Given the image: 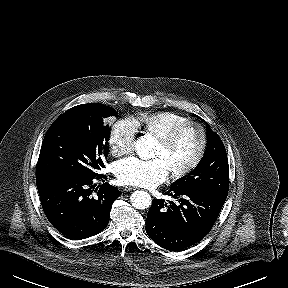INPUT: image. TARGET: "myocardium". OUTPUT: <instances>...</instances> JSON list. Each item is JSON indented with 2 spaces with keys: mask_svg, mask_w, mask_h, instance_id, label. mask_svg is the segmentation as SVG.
<instances>
[{
  "mask_svg": "<svg viewBox=\"0 0 288 288\" xmlns=\"http://www.w3.org/2000/svg\"><path fill=\"white\" fill-rule=\"evenodd\" d=\"M195 129L197 133L199 134V146L197 149V152L195 156L183 167L175 170H171L170 174L172 178L179 179L187 174H189L191 171H193L201 162L205 150L207 147V133L205 128L198 122L195 121H185L181 124H178L168 130L165 134L160 136L158 138L159 142L163 144L164 146L168 147L170 146L183 132H185L188 129Z\"/></svg>",
  "mask_w": 288,
  "mask_h": 288,
  "instance_id": "f54148a6",
  "label": "myocardium"
}]
</instances>
